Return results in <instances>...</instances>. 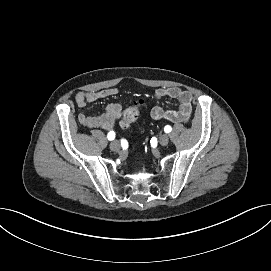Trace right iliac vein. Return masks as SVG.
Listing matches in <instances>:
<instances>
[{"label": "right iliac vein", "mask_w": 271, "mask_h": 271, "mask_svg": "<svg viewBox=\"0 0 271 271\" xmlns=\"http://www.w3.org/2000/svg\"><path fill=\"white\" fill-rule=\"evenodd\" d=\"M120 148V144L118 141H113L111 144H110V149L113 151V152H116L118 151Z\"/></svg>", "instance_id": "right-iliac-vein-1"}]
</instances>
